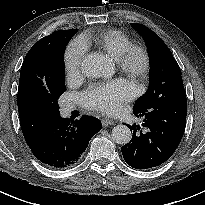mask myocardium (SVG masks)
Returning a JSON list of instances; mask_svg holds the SVG:
<instances>
[{
    "instance_id": "f54148a6",
    "label": "myocardium",
    "mask_w": 205,
    "mask_h": 205,
    "mask_svg": "<svg viewBox=\"0 0 205 205\" xmlns=\"http://www.w3.org/2000/svg\"><path fill=\"white\" fill-rule=\"evenodd\" d=\"M117 64L123 73L138 81H143L150 70V55L145 47L132 45Z\"/></svg>"
}]
</instances>
